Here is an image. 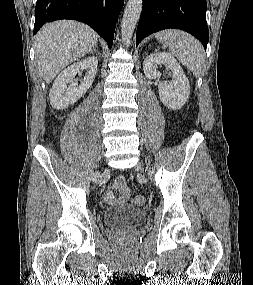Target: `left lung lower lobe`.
Listing matches in <instances>:
<instances>
[{
    "label": "left lung lower lobe",
    "mask_w": 253,
    "mask_h": 285,
    "mask_svg": "<svg viewBox=\"0 0 253 285\" xmlns=\"http://www.w3.org/2000/svg\"><path fill=\"white\" fill-rule=\"evenodd\" d=\"M206 9V0H143L136 46L151 33L174 28L192 34L206 50L209 39Z\"/></svg>",
    "instance_id": "obj_1"
}]
</instances>
